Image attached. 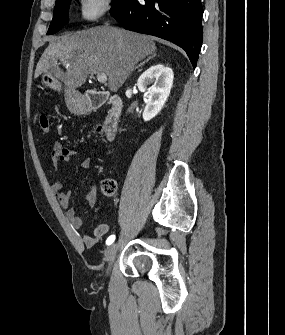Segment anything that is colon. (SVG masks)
Returning a JSON list of instances; mask_svg holds the SVG:
<instances>
[{"label": "colon", "instance_id": "colon-1", "mask_svg": "<svg viewBox=\"0 0 285 335\" xmlns=\"http://www.w3.org/2000/svg\"><path fill=\"white\" fill-rule=\"evenodd\" d=\"M39 125H40V129L43 133H48L50 131V121L47 115L42 114L39 117ZM101 128H99L98 131H100ZM102 191L106 194V195H113L116 192V183L114 180L112 179H105L102 182Z\"/></svg>", "mask_w": 285, "mask_h": 335}]
</instances>
